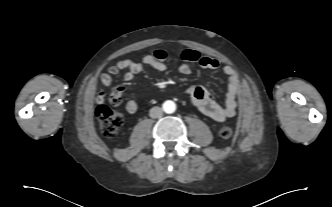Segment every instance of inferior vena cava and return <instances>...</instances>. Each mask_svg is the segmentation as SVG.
<instances>
[{"label": "inferior vena cava", "instance_id": "602c4592", "mask_svg": "<svg viewBox=\"0 0 332 207\" xmlns=\"http://www.w3.org/2000/svg\"><path fill=\"white\" fill-rule=\"evenodd\" d=\"M162 114H163L162 108L157 106L151 108L149 112L151 118H159L162 116Z\"/></svg>", "mask_w": 332, "mask_h": 207}]
</instances>
